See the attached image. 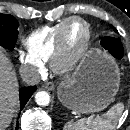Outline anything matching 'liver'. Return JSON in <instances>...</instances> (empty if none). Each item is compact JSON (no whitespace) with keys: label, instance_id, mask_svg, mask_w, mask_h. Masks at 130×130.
<instances>
[{"label":"liver","instance_id":"1","mask_svg":"<svg viewBox=\"0 0 130 130\" xmlns=\"http://www.w3.org/2000/svg\"><path fill=\"white\" fill-rule=\"evenodd\" d=\"M17 103V77L8 57L0 49V130L10 125Z\"/></svg>","mask_w":130,"mask_h":130}]
</instances>
